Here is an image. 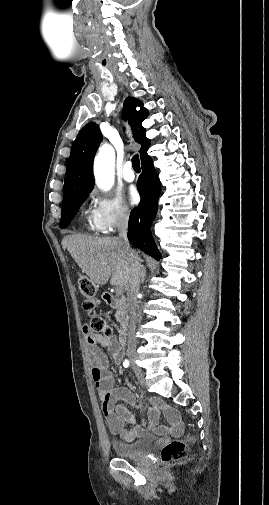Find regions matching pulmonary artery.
<instances>
[{
  "instance_id": "obj_1",
  "label": "pulmonary artery",
  "mask_w": 269,
  "mask_h": 505,
  "mask_svg": "<svg viewBox=\"0 0 269 505\" xmlns=\"http://www.w3.org/2000/svg\"><path fill=\"white\" fill-rule=\"evenodd\" d=\"M122 176L127 182H132L135 179V173L132 169V163L127 161L122 169Z\"/></svg>"
}]
</instances>
